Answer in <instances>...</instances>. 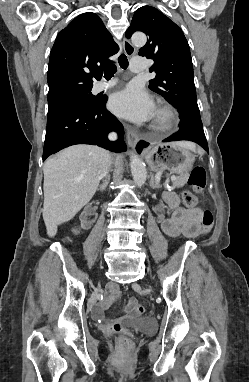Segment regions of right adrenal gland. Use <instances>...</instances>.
<instances>
[{"instance_id": "right-adrenal-gland-1", "label": "right adrenal gland", "mask_w": 249, "mask_h": 382, "mask_svg": "<svg viewBox=\"0 0 249 382\" xmlns=\"http://www.w3.org/2000/svg\"><path fill=\"white\" fill-rule=\"evenodd\" d=\"M109 179H110V177H109V175H107L105 181L98 187L97 191H102L103 192L106 189V187H107V185L109 183Z\"/></svg>"}]
</instances>
